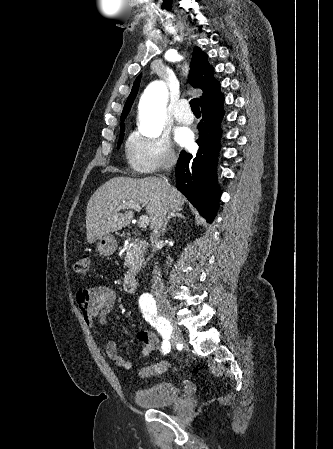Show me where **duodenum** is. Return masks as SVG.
<instances>
[{
	"instance_id": "410a0bca",
	"label": "duodenum",
	"mask_w": 333,
	"mask_h": 449,
	"mask_svg": "<svg viewBox=\"0 0 333 449\" xmlns=\"http://www.w3.org/2000/svg\"><path fill=\"white\" fill-rule=\"evenodd\" d=\"M135 243L141 249L147 247V242L144 240H136ZM139 271V268L135 266L130 268L124 275L122 286L126 292L132 293L137 289Z\"/></svg>"
}]
</instances>
